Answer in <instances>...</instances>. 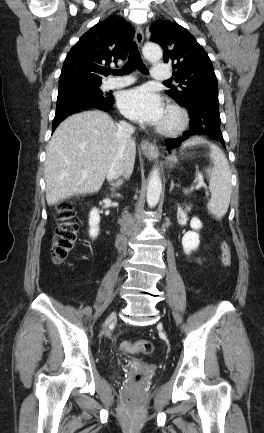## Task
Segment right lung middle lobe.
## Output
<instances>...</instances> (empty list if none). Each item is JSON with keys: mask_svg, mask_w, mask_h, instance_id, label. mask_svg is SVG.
I'll return each instance as SVG.
<instances>
[{"mask_svg": "<svg viewBox=\"0 0 264 433\" xmlns=\"http://www.w3.org/2000/svg\"><path fill=\"white\" fill-rule=\"evenodd\" d=\"M76 94L94 95V96H106L100 89V84L95 85H75L73 87L65 88L58 91L57 98V111H60L61 102L67 101L71 96Z\"/></svg>", "mask_w": 264, "mask_h": 433, "instance_id": "dd1d6c3e", "label": "right lung middle lobe"}]
</instances>
